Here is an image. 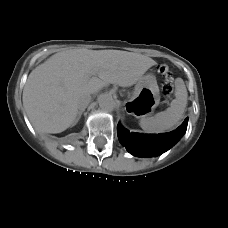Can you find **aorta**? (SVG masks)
<instances>
[{
  "mask_svg": "<svg viewBox=\"0 0 228 228\" xmlns=\"http://www.w3.org/2000/svg\"><path fill=\"white\" fill-rule=\"evenodd\" d=\"M98 103L99 106L106 111H112L116 106L115 100L109 94L100 95L98 98Z\"/></svg>",
  "mask_w": 228,
  "mask_h": 228,
  "instance_id": "obj_1",
  "label": "aorta"
}]
</instances>
